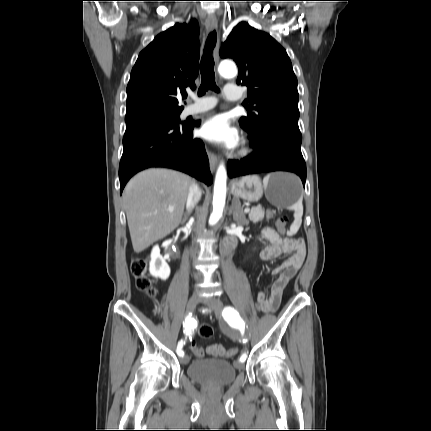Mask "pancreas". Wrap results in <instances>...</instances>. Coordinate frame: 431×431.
Returning a JSON list of instances; mask_svg holds the SVG:
<instances>
[{"mask_svg":"<svg viewBox=\"0 0 431 431\" xmlns=\"http://www.w3.org/2000/svg\"><path fill=\"white\" fill-rule=\"evenodd\" d=\"M264 217L265 211L262 206L253 207L249 212V219L254 223L262 221Z\"/></svg>","mask_w":431,"mask_h":431,"instance_id":"cf45deb5","label":"pancreas"}]
</instances>
